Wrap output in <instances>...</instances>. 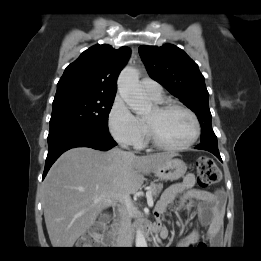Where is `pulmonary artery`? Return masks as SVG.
Listing matches in <instances>:
<instances>
[{"instance_id": "pulmonary-artery-1", "label": "pulmonary artery", "mask_w": 261, "mask_h": 261, "mask_svg": "<svg viewBox=\"0 0 261 261\" xmlns=\"http://www.w3.org/2000/svg\"><path fill=\"white\" fill-rule=\"evenodd\" d=\"M140 83L143 91L151 98L157 99L162 96V87L155 80L151 78H143Z\"/></svg>"}]
</instances>
